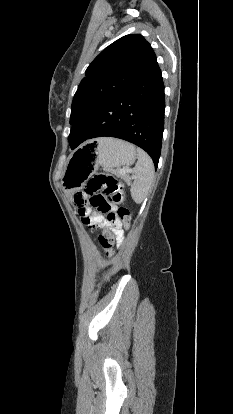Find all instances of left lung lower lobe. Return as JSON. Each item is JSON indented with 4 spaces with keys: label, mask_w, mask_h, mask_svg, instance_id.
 <instances>
[{
    "label": "left lung lower lobe",
    "mask_w": 233,
    "mask_h": 414,
    "mask_svg": "<svg viewBox=\"0 0 233 414\" xmlns=\"http://www.w3.org/2000/svg\"><path fill=\"white\" fill-rule=\"evenodd\" d=\"M164 84L158 63L128 88L109 98L76 123L69 135L71 149L88 139L108 136L129 141L152 158L155 168L164 130Z\"/></svg>",
    "instance_id": "0a47b994"
}]
</instances>
